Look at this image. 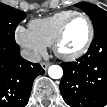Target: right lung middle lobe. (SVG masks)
Returning <instances> with one entry per match:
<instances>
[{
	"label": "right lung middle lobe",
	"instance_id": "obj_1",
	"mask_svg": "<svg viewBox=\"0 0 107 107\" xmlns=\"http://www.w3.org/2000/svg\"><path fill=\"white\" fill-rule=\"evenodd\" d=\"M25 12L0 4V41L15 43L14 32Z\"/></svg>",
	"mask_w": 107,
	"mask_h": 107
}]
</instances>
